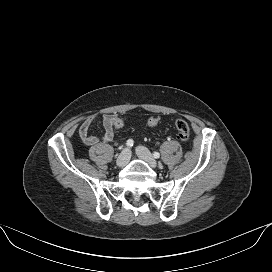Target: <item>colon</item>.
<instances>
[{"instance_id":"colon-1","label":"colon","mask_w":272,"mask_h":272,"mask_svg":"<svg viewBox=\"0 0 272 272\" xmlns=\"http://www.w3.org/2000/svg\"><path fill=\"white\" fill-rule=\"evenodd\" d=\"M161 120L159 115H153L148 119V125L150 127H156ZM124 125V120L121 117H116L113 126L115 129H120ZM175 128L177 130V136L181 141H187L190 137V127L188 123L183 119L175 120Z\"/></svg>"}]
</instances>
